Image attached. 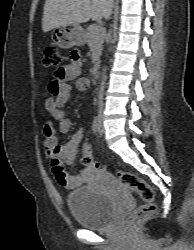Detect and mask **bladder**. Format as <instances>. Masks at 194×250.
<instances>
[{
    "mask_svg": "<svg viewBox=\"0 0 194 250\" xmlns=\"http://www.w3.org/2000/svg\"><path fill=\"white\" fill-rule=\"evenodd\" d=\"M68 208L76 222L89 229L108 227L116 216V205L112 197L82 186L67 194Z\"/></svg>",
    "mask_w": 194,
    "mask_h": 250,
    "instance_id": "31cf9c89",
    "label": "bladder"
}]
</instances>
